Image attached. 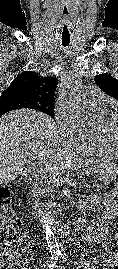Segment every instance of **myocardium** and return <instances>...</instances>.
<instances>
[{
  "label": "myocardium",
  "mask_w": 118,
  "mask_h": 269,
  "mask_svg": "<svg viewBox=\"0 0 118 269\" xmlns=\"http://www.w3.org/2000/svg\"><path fill=\"white\" fill-rule=\"evenodd\" d=\"M118 121V111H111L105 116L100 117L101 128L99 134L101 138L118 154V142L112 136V128Z\"/></svg>",
  "instance_id": "1"
}]
</instances>
